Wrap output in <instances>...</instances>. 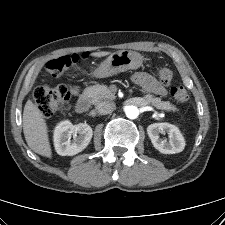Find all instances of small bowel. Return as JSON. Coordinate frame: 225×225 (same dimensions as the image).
I'll return each mask as SVG.
<instances>
[{
	"instance_id": "c3829d8e",
	"label": "small bowel",
	"mask_w": 225,
	"mask_h": 225,
	"mask_svg": "<svg viewBox=\"0 0 225 225\" xmlns=\"http://www.w3.org/2000/svg\"><path fill=\"white\" fill-rule=\"evenodd\" d=\"M133 81L144 91L160 96L166 95V88L156 78L146 72H137L133 75ZM69 90L73 96H78L80 86L75 83L69 84Z\"/></svg>"
}]
</instances>
